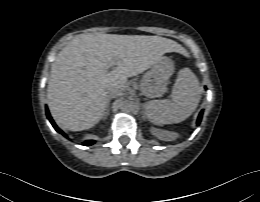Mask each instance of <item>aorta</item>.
<instances>
[{"label":"aorta","instance_id":"aorta-1","mask_svg":"<svg viewBox=\"0 0 260 202\" xmlns=\"http://www.w3.org/2000/svg\"><path fill=\"white\" fill-rule=\"evenodd\" d=\"M121 109L124 112H131L133 110V103L130 101H124L121 105Z\"/></svg>","mask_w":260,"mask_h":202}]
</instances>
